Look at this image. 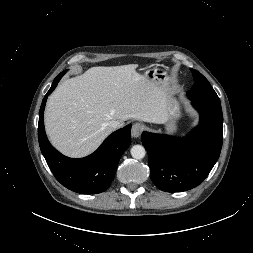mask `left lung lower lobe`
Instances as JSON below:
<instances>
[{
    "mask_svg": "<svg viewBox=\"0 0 253 253\" xmlns=\"http://www.w3.org/2000/svg\"><path fill=\"white\" fill-rule=\"evenodd\" d=\"M200 113L199 125L185 138L144 132L151 179L165 192L198 186L219 158L223 138L220 102L191 99Z\"/></svg>",
    "mask_w": 253,
    "mask_h": 253,
    "instance_id": "1",
    "label": "left lung lower lobe"
}]
</instances>
